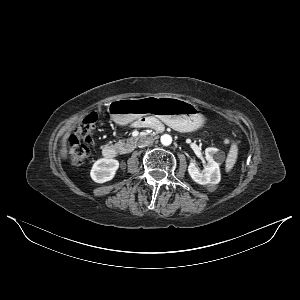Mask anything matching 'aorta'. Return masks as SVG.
<instances>
[{"label": "aorta", "instance_id": "762f6f07", "mask_svg": "<svg viewBox=\"0 0 300 300\" xmlns=\"http://www.w3.org/2000/svg\"><path fill=\"white\" fill-rule=\"evenodd\" d=\"M160 140L164 146H169L172 143V137L169 134L162 135Z\"/></svg>", "mask_w": 300, "mask_h": 300}]
</instances>
